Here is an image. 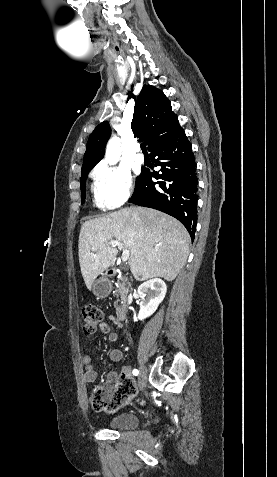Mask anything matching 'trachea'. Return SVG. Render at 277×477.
Wrapping results in <instances>:
<instances>
[{"label": "trachea", "mask_w": 277, "mask_h": 477, "mask_svg": "<svg viewBox=\"0 0 277 477\" xmlns=\"http://www.w3.org/2000/svg\"><path fill=\"white\" fill-rule=\"evenodd\" d=\"M141 149L143 151V153H146V143H141Z\"/></svg>", "instance_id": "3493384b"}]
</instances>
